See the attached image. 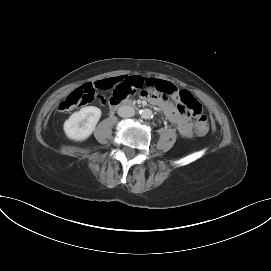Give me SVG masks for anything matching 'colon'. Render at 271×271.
I'll return each mask as SVG.
<instances>
[{
    "instance_id": "5ec220e1",
    "label": "colon",
    "mask_w": 271,
    "mask_h": 271,
    "mask_svg": "<svg viewBox=\"0 0 271 271\" xmlns=\"http://www.w3.org/2000/svg\"><path fill=\"white\" fill-rule=\"evenodd\" d=\"M159 89L165 88L159 87ZM96 95L97 92L93 88L82 86L71 92L60 103L58 109L62 112L74 110L82 105L88 104L93 101ZM178 108L183 115L195 120V131L199 136H204L208 133V119L205 115L201 113V105L198 100H196L188 91L183 90L179 92Z\"/></svg>"
}]
</instances>
